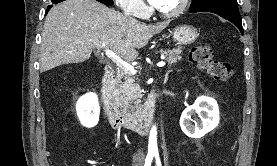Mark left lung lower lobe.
Instances as JSON below:
<instances>
[{"instance_id":"1","label":"left lung lower lobe","mask_w":277,"mask_h":166,"mask_svg":"<svg viewBox=\"0 0 277 166\" xmlns=\"http://www.w3.org/2000/svg\"><path fill=\"white\" fill-rule=\"evenodd\" d=\"M195 12L215 13L221 16L222 18L232 22L235 26H237V28L241 31V34L243 35L242 20L240 17L238 7L225 6V5H213V6L203 7L194 11H189V13H195Z\"/></svg>"}]
</instances>
